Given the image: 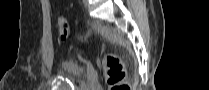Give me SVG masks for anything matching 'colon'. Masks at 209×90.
<instances>
[{"instance_id":"5ec220e1","label":"colon","mask_w":209,"mask_h":90,"mask_svg":"<svg viewBox=\"0 0 209 90\" xmlns=\"http://www.w3.org/2000/svg\"><path fill=\"white\" fill-rule=\"evenodd\" d=\"M57 30L60 39L65 40L70 35V26L66 18L59 17ZM106 81L110 90H131V85L126 81V68L121 57L108 54L102 61Z\"/></svg>"}]
</instances>
